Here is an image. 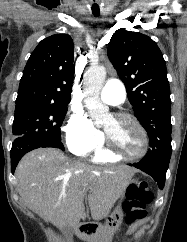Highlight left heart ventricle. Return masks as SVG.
I'll list each match as a JSON object with an SVG mask.
<instances>
[{
    "mask_svg": "<svg viewBox=\"0 0 187 242\" xmlns=\"http://www.w3.org/2000/svg\"><path fill=\"white\" fill-rule=\"evenodd\" d=\"M103 130L117 149L128 154H137L142 150V136L132 123L110 116L103 124Z\"/></svg>",
    "mask_w": 187,
    "mask_h": 242,
    "instance_id": "1",
    "label": "left heart ventricle"
}]
</instances>
